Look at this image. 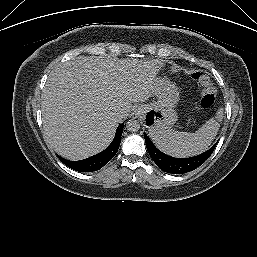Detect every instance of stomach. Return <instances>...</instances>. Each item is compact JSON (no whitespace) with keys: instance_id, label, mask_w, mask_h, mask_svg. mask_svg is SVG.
<instances>
[{"instance_id":"stomach-1","label":"stomach","mask_w":257,"mask_h":257,"mask_svg":"<svg viewBox=\"0 0 257 257\" xmlns=\"http://www.w3.org/2000/svg\"><path fill=\"white\" fill-rule=\"evenodd\" d=\"M153 95L157 98L156 102L133 110V114L143 119L150 132L169 128L176 122L175 106L179 101V90L171 81L156 78Z\"/></svg>"}]
</instances>
